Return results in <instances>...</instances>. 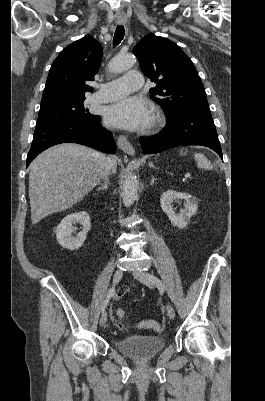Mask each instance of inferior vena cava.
Masks as SVG:
<instances>
[{
    "label": "inferior vena cava",
    "mask_w": 265,
    "mask_h": 401,
    "mask_svg": "<svg viewBox=\"0 0 265 401\" xmlns=\"http://www.w3.org/2000/svg\"><path fill=\"white\" fill-rule=\"evenodd\" d=\"M112 156H106V166L103 172V178H106L107 174H111V166H112Z\"/></svg>",
    "instance_id": "1"
}]
</instances>
